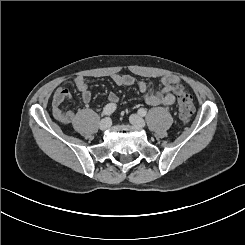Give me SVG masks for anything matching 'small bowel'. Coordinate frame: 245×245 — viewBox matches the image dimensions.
Returning <instances> with one entry per match:
<instances>
[{"label":"small bowel","mask_w":245,"mask_h":245,"mask_svg":"<svg viewBox=\"0 0 245 245\" xmlns=\"http://www.w3.org/2000/svg\"><path fill=\"white\" fill-rule=\"evenodd\" d=\"M112 80L118 86L137 85L139 91L143 94L145 102L150 106L172 105L175 102L174 86L179 83V78L175 75L166 74L160 78L162 84L161 89H155L144 81H135L134 78L127 74H113ZM76 90L80 93L84 103H88L91 98L87 81L84 77L78 76L73 80ZM71 98L70 92L63 87H58L53 95L52 111L54 117L63 124L72 123L75 114L72 110H65L63 104ZM119 97L116 93H110L108 96V104H117ZM107 104V105H108Z\"/></svg>","instance_id":"c3829d8e"}]
</instances>
